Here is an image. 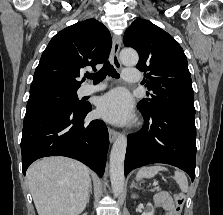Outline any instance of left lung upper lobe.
<instances>
[{"label":"left lung upper lobe","instance_id":"obj_1","mask_svg":"<svg viewBox=\"0 0 223 215\" xmlns=\"http://www.w3.org/2000/svg\"><path fill=\"white\" fill-rule=\"evenodd\" d=\"M123 41L126 47L138 52L136 67L144 71L148 79L145 86L152 91L150 98L141 100L137 106L147 110L167 108L195 114L187 58L177 41L145 19H136L126 30Z\"/></svg>","mask_w":223,"mask_h":215}]
</instances>
